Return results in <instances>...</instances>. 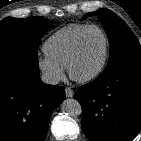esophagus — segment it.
<instances>
[{"mask_svg":"<svg viewBox=\"0 0 141 141\" xmlns=\"http://www.w3.org/2000/svg\"><path fill=\"white\" fill-rule=\"evenodd\" d=\"M65 94H66L67 97H73V96H74V91H73L72 88L67 87V88L65 89Z\"/></svg>","mask_w":141,"mask_h":141,"instance_id":"obj_1","label":"esophagus"}]
</instances>
